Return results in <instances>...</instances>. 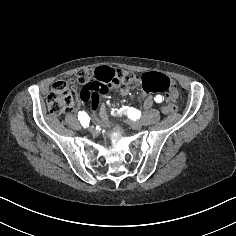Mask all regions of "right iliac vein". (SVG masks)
<instances>
[{
    "label": "right iliac vein",
    "instance_id": "right-iliac-vein-1",
    "mask_svg": "<svg viewBox=\"0 0 236 236\" xmlns=\"http://www.w3.org/2000/svg\"><path fill=\"white\" fill-rule=\"evenodd\" d=\"M94 129L95 128H93L92 130L89 128V132L93 135L95 132H94Z\"/></svg>",
    "mask_w": 236,
    "mask_h": 236
}]
</instances>
